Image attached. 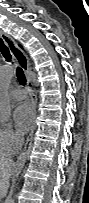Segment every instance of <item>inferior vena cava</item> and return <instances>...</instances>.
Wrapping results in <instances>:
<instances>
[{
    "instance_id": "inferior-vena-cava-1",
    "label": "inferior vena cava",
    "mask_w": 89,
    "mask_h": 203,
    "mask_svg": "<svg viewBox=\"0 0 89 203\" xmlns=\"http://www.w3.org/2000/svg\"><path fill=\"white\" fill-rule=\"evenodd\" d=\"M20 142H21V143H23V142H24V139H23L22 137L20 138Z\"/></svg>"
}]
</instances>
